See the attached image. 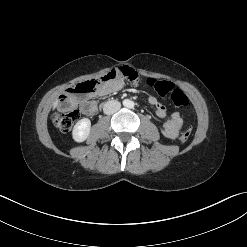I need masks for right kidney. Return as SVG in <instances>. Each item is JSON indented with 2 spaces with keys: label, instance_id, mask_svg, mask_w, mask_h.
<instances>
[{
  "label": "right kidney",
  "instance_id": "right-kidney-1",
  "mask_svg": "<svg viewBox=\"0 0 247 247\" xmlns=\"http://www.w3.org/2000/svg\"><path fill=\"white\" fill-rule=\"evenodd\" d=\"M91 129V121L88 118H83L79 120L72 131V137L74 141L76 142H83L85 141L89 134Z\"/></svg>",
  "mask_w": 247,
  "mask_h": 247
}]
</instances>
